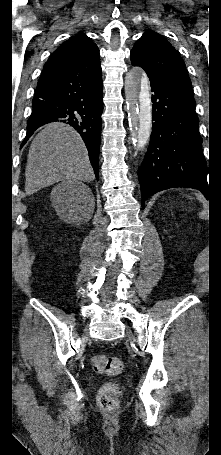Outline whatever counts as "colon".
<instances>
[{"mask_svg":"<svg viewBox=\"0 0 221 455\" xmlns=\"http://www.w3.org/2000/svg\"><path fill=\"white\" fill-rule=\"evenodd\" d=\"M92 368L100 373L115 376L122 369V362L119 358L106 355H95L91 359ZM120 388L116 383H105L99 390L97 401L104 410H114L118 406Z\"/></svg>","mask_w":221,"mask_h":455,"instance_id":"1","label":"colon"}]
</instances>
